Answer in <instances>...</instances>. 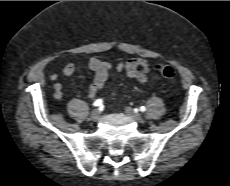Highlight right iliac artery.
I'll return each instance as SVG.
<instances>
[{"mask_svg":"<svg viewBox=\"0 0 230 186\" xmlns=\"http://www.w3.org/2000/svg\"><path fill=\"white\" fill-rule=\"evenodd\" d=\"M102 103H103V100H102V99H97V100L93 103V105H94V106H101Z\"/></svg>","mask_w":230,"mask_h":186,"instance_id":"obj_1","label":"right iliac artery"}]
</instances>
